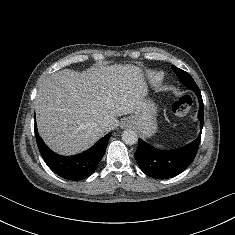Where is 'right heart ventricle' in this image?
Masks as SVG:
<instances>
[{"instance_id":"right-heart-ventricle-1","label":"right heart ventricle","mask_w":235,"mask_h":235,"mask_svg":"<svg viewBox=\"0 0 235 235\" xmlns=\"http://www.w3.org/2000/svg\"><path fill=\"white\" fill-rule=\"evenodd\" d=\"M149 78L153 82H158L162 79V75L160 73L151 72L149 73Z\"/></svg>"}]
</instances>
